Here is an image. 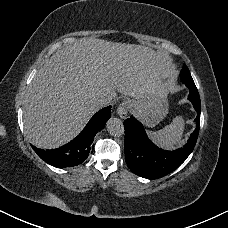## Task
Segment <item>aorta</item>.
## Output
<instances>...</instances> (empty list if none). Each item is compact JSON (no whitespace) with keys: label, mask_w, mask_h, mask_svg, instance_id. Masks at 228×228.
Instances as JSON below:
<instances>
[{"label":"aorta","mask_w":228,"mask_h":228,"mask_svg":"<svg viewBox=\"0 0 228 228\" xmlns=\"http://www.w3.org/2000/svg\"><path fill=\"white\" fill-rule=\"evenodd\" d=\"M106 127L108 132L114 137H119L124 134V126L119 118H110L106 124Z\"/></svg>","instance_id":"obj_1"}]
</instances>
